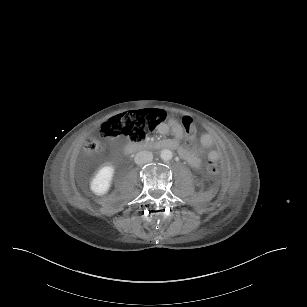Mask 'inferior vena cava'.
Returning <instances> with one entry per match:
<instances>
[{"instance_id":"1","label":"inferior vena cava","mask_w":307,"mask_h":307,"mask_svg":"<svg viewBox=\"0 0 307 307\" xmlns=\"http://www.w3.org/2000/svg\"><path fill=\"white\" fill-rule=\"evenodd\" d=\"M152 159H153V154L150 151H140L134 157V161L138 165L149 163L152 161Z\"/></svg>"}]
</instances>
